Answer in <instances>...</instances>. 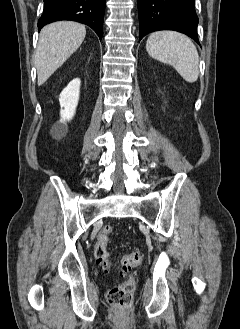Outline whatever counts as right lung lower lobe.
<instances>
[{
    "instance_id": "right-lung-lower-lobe-1",
    "label": "right lung lower lobe",
    "mask_w": 240,
    "mask_h": 329,
    "mask_svg": "<svg viewBox=\"0 0 240 329\" xmlns=\"http://www.w3.org/2000/svg\"><path fill=\"white\" fill-rule=\"evenodd\" d=\"M105 4L106 0H44L39 30L51 22L71 20L90 26L101 39Z\"/></svg>"
}]
</instances>
